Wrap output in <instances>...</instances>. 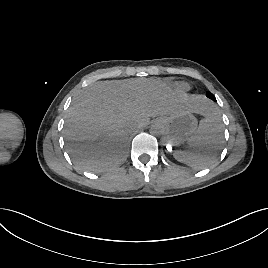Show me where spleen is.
<instances>
[{
    "label": "spleen",
    "instance_id": "3e777b00",
    "mask_svg": "<svg viewBox=\"0 0 268 268\" xmlns=\"http://www.w3.org/2000/svg\"><path fill=\"white\" fill-rule=\"evenodd\" d=\"M222 130L216 112L208 111L207 117L200 121L196 132L187 141L191 150L175 151L174 158L195 169L209 166L221 149Z\"/></svg>",
    "mask_w": 268,
    "mask_h": 268
}]
</instances>
